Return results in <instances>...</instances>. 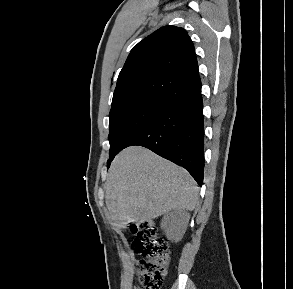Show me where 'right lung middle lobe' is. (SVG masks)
Returning <instances> with one entry per match:
<instances>
[{"label": "right lung middle lobe", "mask_w": 293, "mask_h": 289, "mask_svg": "<svg viewBox=\"0 0 293 289\" xmlns=\"http://www.w3.org/2000/svg\"><path fill=\"white\" fill-rule=\"evenodd\" d=\"M174 105L170 100L154 95L129 97L113 104L109 116L110 159Z\"/></svg>", "instance_id": "right-lung-middle-lobe-1"}]
</instances>
